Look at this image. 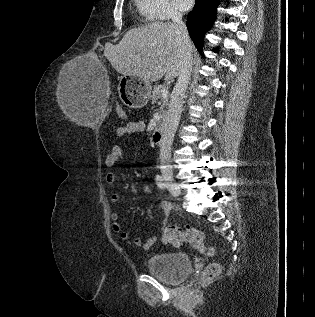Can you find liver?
I'll use <instances>...</instances> for the list:
<instances>
[{"instance_id": "1", "label": "liver", "mask_w": 315, "mask_h": 317, "mask_svg": "<svg viewBox=\"0 0 315 317\" xmlns=\"http://www.w3.org/2000/svg\"><path fill=\"white\" fill-rule=\"evenodd\" d=\"M104 55L118 73L152 82L163 76L173 80L183 63L178 27L171 22H155L131 29L118 45H106Z\"/></svg>"}]
</instances>
